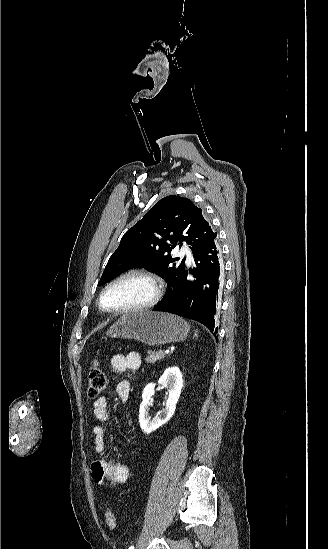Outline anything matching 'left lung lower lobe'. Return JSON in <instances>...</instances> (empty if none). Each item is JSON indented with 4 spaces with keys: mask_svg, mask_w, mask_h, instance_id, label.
<instances>
[{
    "mask_svg": "<svg viewBox=\"0 0 328 549\" xmlns=\"http://www.w3.org/2000/svg\"><path fill=\"white\" fill-rule=\"evenodd\" d=\"M196 267L185 269L173 285L172 291L154 307V311L176 314L206 325L217 339L216 323L223 289V266L215 239L193 254Z\"/></svg>",
    "mask_w": 328,
    "mask_h": 549,
    "instance_id": "obj_1",
    "label": "left lung lower lobe"
}]
</instances>
